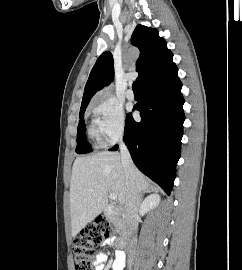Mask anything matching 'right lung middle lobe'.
I'll use <instances>...</instances> for the list:
<instances>
[{"label":"right lung middle lobe","mask_w":242,"mask_h":270,"mask_svg":"<svg viewBox=\"0 0 242 270\" xmlns=\"http://www.w3.org/2000/svg\"><path fill=\"white\" fill-rule=\"evenodd\" d=\"M86 108L80 109V122L78 125V133H77V148L76 152L78 154L89 153L92 151L89 143L86 141L85 136V123H84V112Z\"/></svg>","instance_id":"dd1d6c3e"}]
</instances>
